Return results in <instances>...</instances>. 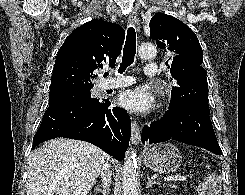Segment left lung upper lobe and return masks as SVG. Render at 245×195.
I'll return each mask as SVG.
<instances>
[{
  "label": "left lung upper lobe",
  "instance_id": "left-lung-upper-lobe-1",
  "mask_svg": "<svg viewBox=\"0 0 245 195\" xmlns=\"http://www.w3.org/2000/svg\"><path fill=\"white\" fill-rule=\"evenodd\" d=\"M150 37L159 48L172 52L168 66L174 86L169 107L208 106L207 72L201 66L203 51L195 33L173 16L158 13L150 21Z\"/></svg>",
  "mask_w": 245,
  "mask_h": 195
}]
</instances>
